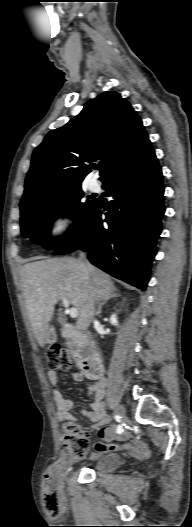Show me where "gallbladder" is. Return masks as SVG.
<instances>
[{
    "instance_id": "gallbladder-1",
    "label": "gallbladder",
    "mask_w": 192,
    "mask_h": 527,
    "mask_svg": "<svg viewBox=\"0 0 192 527\" xmlns=\"http://www.w3.org/2000/svg\"><path fill=\"white\" fill-rule=\"evenodd\" d=\"M58 322L62 323L64 321L63 317H58ZM57 340V334H56V330L54 327H51L48 331V335H47V339H46V343L48 344H53L55 343Z\"/></svg>"
}]
</instances>
